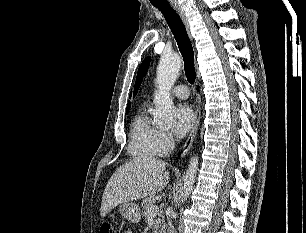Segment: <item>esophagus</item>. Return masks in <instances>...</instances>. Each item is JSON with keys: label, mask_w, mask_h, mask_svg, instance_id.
Returning <instances> with one entry per match:
<instances>
[{"label": "esophagus", "mask_w": 306, "mask_h": 233, "mask_svg": "<svg viewBox=\"0 0 306 233\" xmlns=\"http://www.w3.org/2000/svg\"><path fill=\"white\" fill-rule=\"evenodd\" d=\"M172 7L174 8V10L178 13V15L180 16L182 22L184 23L186 30L188 32V35L190 37V39L192 40V37L190 35V25L189 22L185 16V13L183 11V9L176 3H172ZM200 119H201V96L198 93L197 97H196V111H195V121H194V125L190 131V134L186 140V142L184 143L183 147H182V151H181V157H184L188 151L191 149L193 141L196 137V133L200 124Z\"/></svg>", "instance_id": "34e87169"}]
</instances>
